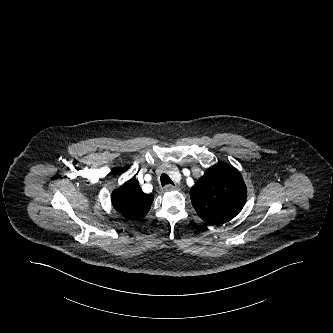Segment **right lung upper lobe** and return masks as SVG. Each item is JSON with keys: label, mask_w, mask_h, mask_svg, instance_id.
Masks as SVG:
<instances>
[{"label": "right lung upper lobe", "mask_w": 333, "mask_h": 333, "mask_svg": "<svg viewBox=\"0 0 333 333\" xmlns=\"http://www.w3.org/2000/svg\"><path fill=\"white\" fill-rule=\"evenodd\" d=\"M111 198L117 212L130 220H139L150 210L154 196L145 194L132 178L120 189L114 190Z\"/></svg>", "instance_id": "right-lung-upper-lobe-1"}]
</instances>
